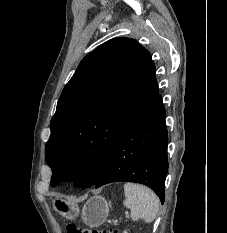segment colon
<instances>
[{
	"mask_svg": "<svg viewBox=\"0 0 227 233\" xmlns=\"http://www.w3.org/2000/svg\"><path fill=\"white\" fill-rule=\"evenodd\" d=\"M67 233H118L117 230H106V229H91V228H81L76 225H69L67 227Z\"/></svg>",
	"mask_w": 227,
	"mask_h": 233,
	"instance_id": "5ec220e1",
	"label": "colon"
}]
</instances>
